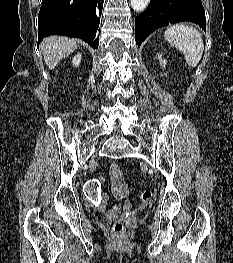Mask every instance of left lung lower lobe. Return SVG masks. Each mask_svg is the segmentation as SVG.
Returning a JSON list of instances; mask_svg holds the SVG:
<instances>
[{
	"label": "left lung lower lobe",
	"mask_w": 233,
	"mask_h": 263,
	"mask_svg": "<svg viewBox=\"0 0 233 263\" xmlns=\"http://www.w3.org/2000/svg\"><path fill=\"white\" fill-rule=\"evenodd\" d=\"M182 21H191L206 29L201 0H150L147 9L135 19V40L138 46L154 30Z\"/></svg>",
	"instance_id": "1"
}]
</instances>
